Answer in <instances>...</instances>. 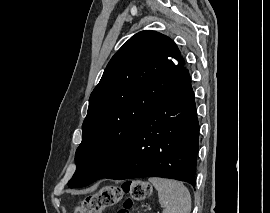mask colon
<instances>
[{
  "label": "colon",
  "instance_id": "obj_1",
  "mask_svg": "<svg viewBox=\"0 0 270 213\" xmlns=\"http://www.w3.org/2000/svg\"><path fill=\"white\" fill-rule=\"evenodd\" d=\"M151 192L150 184L140 179L130 180L122 187L105 186L97 193L86 197L76 206L74 213H102L105 208L115 205L123 193H127L128 197L117 213H132L134 203L148 198Z\"/></svg>",
  "mask_w": 270,
  "mask_h": 213
}]
</instances>
